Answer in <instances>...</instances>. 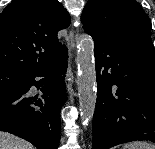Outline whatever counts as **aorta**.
I'll list each match as a JSON object with an SVG mask.
<instances>
[{
    "instance_id": "762f6f07",
    "label": "aorta",
    "mask_w": 155,
    "mask_h": 149,
    "mask_svg": "<svg viewBox=\"0 0 155 149\" xmlns=\"http://www.w3.org/2000/svg\"><path fill=\"white\" fill-rule=\"evenodd\" d=\"M76 62L80 118L83 125H88L93 119L97 98L94 42L89 35H83L79 41Z\"/></svg>"
}]
</instances>
